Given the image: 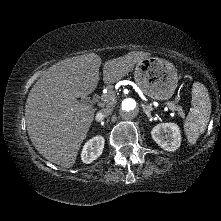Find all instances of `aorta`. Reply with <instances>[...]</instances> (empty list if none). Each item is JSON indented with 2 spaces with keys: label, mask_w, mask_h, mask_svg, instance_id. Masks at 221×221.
<instances>
[{
  "label": "aorta",
  "mask_w": 221,
  "mask_h": 221,
  "mask_svg": "<svg viewBox=\"0 0 221 221\" xmlns=\"http://www.w3.org/2000/svg\"><path fill=\"white\" fill-rule=\"evenodd\" d=\"M119 113L125 120L134 119L139 113V105L133 98H125L119 106Z\"/></svg>",
  "instance_id": "aorta-1"
}]
</instances>
